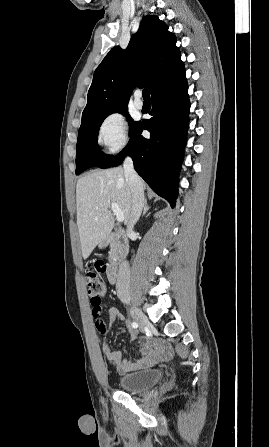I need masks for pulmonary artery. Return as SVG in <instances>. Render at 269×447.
Masks as SVG:
<instances>
[{
  "label": "pulmonary artery",
  "mask_w": 269,
  "mask_h": 447,
  "mask_svg": "<svg viewBox=\"0 0 269 447\" xmlns=\"http://www.w3.org/2000/svg\"><path fill=\"white\" fill-rule=\"evenodd\" d=\"M134 104H135L136 108L142 109V107H143V99H142L140 94H136L135 95Z\"/></svg>",
  "instance_id": "obj_1"
}]
</instances>
